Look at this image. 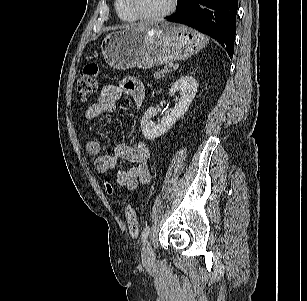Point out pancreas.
<instances>
[{
  "label": "pancreas",
  "mask_w": 307,
  "mask_h": 301,
  "mask_svg": "<svg viewBox=\"0 0 307 301\" xmlns=\"http://www.w3.org/2000/svg\"><path fill=\"white\" fill-rule=\"evenodd\" d=\"M170 72V69H167V68H164L162 70H158L154 73V77L156 79H160L162 78L165 74L169 73Z\"/></svg>",
  "instance_id": "pancreas-1"
}]
</instances>
